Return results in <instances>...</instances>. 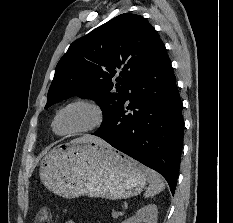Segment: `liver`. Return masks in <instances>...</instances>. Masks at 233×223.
<instances>
[{
  "label": "liver",
  "instance_id": "1",
  "mask_svg": "<svg viewBox=\"0 0 233 223\" xmlns=\"http://www.w3.org/2000/svg\"><path fill=\"white\" fill-rule=\"evenodd\" d=\"M80 141H91V143H97V145H106V147H111L109 143H106L104 139H100V137H95V135H83V137H76L73 139L72 143H80Z\"/></svg>",
  "mask_w": 233,
  "mask_h": 223
}]
</instances>
